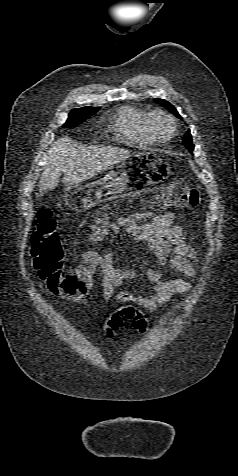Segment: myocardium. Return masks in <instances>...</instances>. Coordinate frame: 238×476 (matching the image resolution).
<instances>
[{"label": "myocardium", "instance_id": "obj_1", "mask_svg": "<svg viewBox=\"0 0 238 476\" xmlns=\"http://www.w3.org/2000/svg\"><path fill=\"white\" fill-rule=\"evenodd\" d=\"M160 118H163L171 123L172 130L169 136L161 137L156 130V121ZM146 129L151 136V138L157 143H166L171 141L177 133V123L175 118L168 112L155 109L148 113L145 121Z\"/></svg>", "mask_w": 238, "mask_h": 476}]
</instances>
